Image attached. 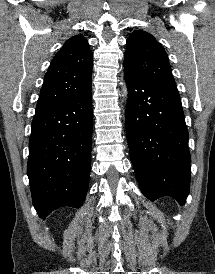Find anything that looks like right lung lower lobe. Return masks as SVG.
I'll return each instance as SVG.
<instances>
[{
	"label": "right lung lower lobe",
	"mask_w": 215,
	"mask_h": 274,
	"mask_svg": "<svg viewBox=\"0 0 215 274\" xmlns=\"http://www.w3.org/2000/svg\"><path fill=\"white\" fill-rule=\"evenodd\" d=\"M91 148V85L35 113L27 174L33 205L41 218L63 206H82L88 189Z\"/></svg>",
	"instance_id": "98d812e1"
}]
</instances>
